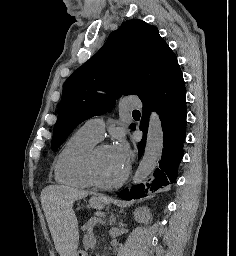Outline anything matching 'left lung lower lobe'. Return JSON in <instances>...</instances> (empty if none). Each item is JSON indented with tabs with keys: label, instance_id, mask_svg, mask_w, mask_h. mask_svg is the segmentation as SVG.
<instances>
[{
	"label": "left lung lower lobe",
	"instance_id": "1",
	"mask_svg": "<svg viewBox=\"0 0 236 256\" xmlns=\"http://www.w3.org/2000/svg\"><path fill=\"white\" fill-rule=\"evenodd\" d=\"M141 101L143 113L139 128L143 131V138L138 143L139 157L145 148L148 120L152 110L157 111L161 120L163 130L162 157L159 168L155 170L146 185L133 186L130 191L126 189L118 195L124 200L148 196L163 186L174 183L177 178L186 137V91L180 68L175 70Z\"/></svg>",
	"mask_w": 236,
	"mask_h": 256
}]
</instances>
